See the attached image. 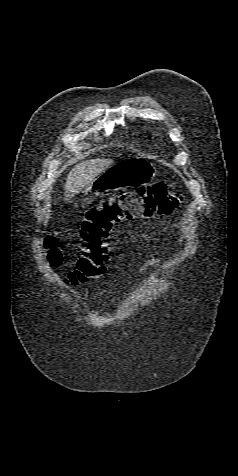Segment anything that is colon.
Masks as SVG:
<instances>
[{
    "label": "colon",
    "mask_w": 238,
    "mask_h": 476,
    "mask_svg": "<svg viewBox=\"0 0 238 476\" xmlns=\"http://www.w3.org/2000/svg\"><path fill=\"white\" fill-rule=\"evenodd\" d=\"M183 201L182 195L165 182L140 187L133 192L105 199L90 208L81 223L82 254L66 280L72 285L95 279L105 271L109 260V238L113 228L126 220L170 214ZM48 260L58 265L62 253L57 240H45Z\"/></svg>",
    "instance_id": "1"
}]
</instances>
